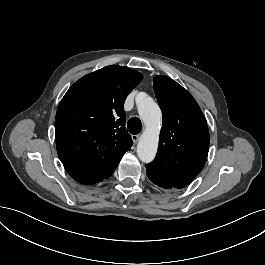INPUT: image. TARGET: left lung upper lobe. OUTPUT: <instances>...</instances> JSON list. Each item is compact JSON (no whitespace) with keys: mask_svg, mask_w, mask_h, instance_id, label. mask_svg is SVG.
Masks as SVG:
<instances>
[{"mask_svg":"<svg viewBox=\"0 0 265 265\" xmlns=\"http://www.w3.org/2000/svg\"><path fill=\"white\" fill-rule=\"evenodd\" d=\"M153 84L163 126L157 155L146 165V173L167 187L182 189L202 171L207 160V122L193 96L177 82L158 75Z\"/></svg>","mask_w":265,"mask_h":265,"instance_id":"1","label":"left lung upper lobe"}]
</instances>
